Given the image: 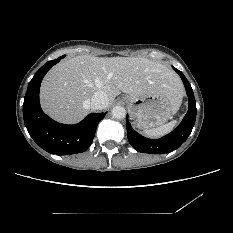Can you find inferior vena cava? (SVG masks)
Returning <instances> with one entry per match:
<instances>
[{
	"label": "inferior vena cava",
	"instance_id": "602c4592",
	"mask_svg": "<svg viewBox=\"0 0 233 233\" xmlns=\"http://www.w3.org/2000/svg\"><path fill=\"white\" fill-rule=\"evenodd\" d=\"M90 106L94 110H102L108 106V97L103 91H97L91 98Z\"/></svg>",
	"mask_w": 233,
	"mask_h": 233
}]
</instances>
